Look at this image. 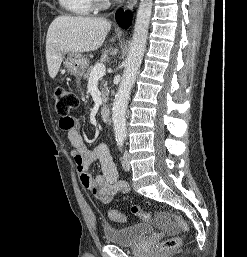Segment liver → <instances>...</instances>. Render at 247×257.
I'll return each mask as SVG.
<instances>
[{"label":"liver","instance_id":"liver-1","mask_svg":"<svg viewBox=\"0 0 247 257\" xmlns=\"http://www.w3.org/2000/svg\"><path fill=\"white\" fill-rule=\"evenodd\" d=\"M111 29L103 18L58 16L50 24L46 36V59L49 75L54 79L64 55L84 53L100 48Z\"/></svg>","mask_w":247,"mask_h":257}]
</instances>
